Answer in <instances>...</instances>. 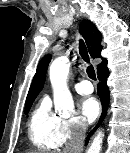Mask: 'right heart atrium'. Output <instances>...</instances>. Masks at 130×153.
<instances>
[{"label": "right heart atrium", "mask_w": 130, "mask_h": 153, "mask_svg": "<svg viewBox=\"0 0 130 153\" xmlns=\"http://www.w3.org/2000/svg\"><path fill=\"white\" fill-rule=\"evenodd\" d=\"M85 130V122L77 116L62 119L59 130L60 145L81 137L84 134Z\"/></svg>", "instance_id": "obj_1"}]
</instances>
